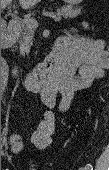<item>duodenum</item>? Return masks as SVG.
Returning <instances> with one entry per match:
<instances>
[{"label":"duodenum","mask_w":109,"mask_h":170,"mask_svg":"<svg viewBox=\"0 0 109 170\" xmlns=\"http://www.w3.org/2000/svg\"><path fill=\"white\" fill-rule=\"evenodd\" d=\"M13 30V27L10 31ZM10 33H6L3 37L4 48H8L11 45ZM73 46L70 40L67 38H61L56 46L55 55L46 59L43 62H40L36 67L27 75L26 86L29 90L34 92L47 91L50 88H53V83L48 75L53 70L57 60L62 58V60L73 64L76 59L74 56H67L66 54L72 51Z\"/></svg>","instance_id":"obj_1"}]
</instances>
